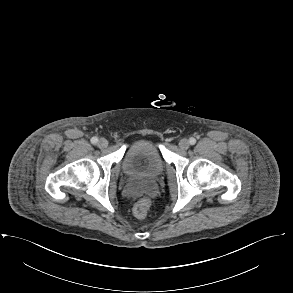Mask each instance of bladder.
<instances>
[{
  "label": "bladder",
  "instance_id": "bladder-1",
  "mask_svg": "<svg viewBox=\"0 0 293 293\" xmlns=\"http://www.w3.org/2000/svg\"><path fill=\"white\" fill-rule=\"evenodd\" d=\"M162 155L153 143L142 141L130 146L124 155V175L151 188L164 174Z\"/></svg>",
  "mask_w": 293,
  "mask_h": 293
}]
</instances>
